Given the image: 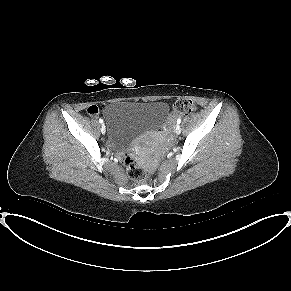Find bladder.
Listing matches in <instances>:
<instances>
[{
    "instance_id": "1",
    "label": "bladder",
    "mask_w": 291,
    "mask_h": 291,
    "mask_svg": "<svg viewBox=\"0 0 291 291\" xmlns=\"http://www.w3.org/2000/svg\"><path fill=\"white\" fill-rule=\"evenodd\" d=\"M169 114L165 102L116 101L103 112L108 138L118 147H126L139 135L158 129Z\"/></svg>"
}]
</instances>
